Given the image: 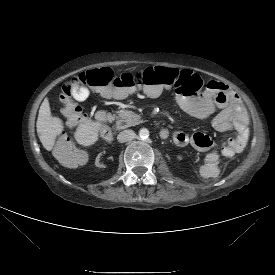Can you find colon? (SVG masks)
<instances>
[{"mask_svg":"<svg viewBox=\"0 0 275 275\" xmlns=\"http://www.w3.org/2000/svg\"><path fill=\"white\" fill-rule=\"evenodd\" d=\"M202 87L201 78L189 70L148 67L133 77L125 73L115 75L110 68H101L80 72L65 82L58 102L61 106L75 111L72 121L78 123L82 121L83 116L77 112L78 107L71 98L73 96L78 101H84L89 98L91 89H98L100 94L110 99L136 102L141 99L143 93L151 98L160 96L163 88L172 89L177 94H197ZM192 142L194 144L195 140ZM221 152L225 156H233V140H225Z\"/></svg>","mask_w":275,"mask_h":275,"instance_id":"1","label":"colon"}]
</instances>
